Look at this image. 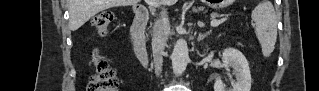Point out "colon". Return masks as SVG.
<instances>
[{
	"mask_svg": "<svg viewBox=\"0 0 319 91\" xmlns=\"http://www.w3.org/2000/svg\"><path fill=\"white\" fill-rule=\"evenodd\" d=\"M114 21L112 12H101L91 20V25L99 36H105ZM94 72L89 77L87 83L88 91H116L118 80L114 72L110 69L107 61L98 51L93 54Z\"/></svg>",
	"mask_w": 319,
	"mask_h": 91,
	"instance_id": "1",
	"label": "colon"
}]
</instances>
